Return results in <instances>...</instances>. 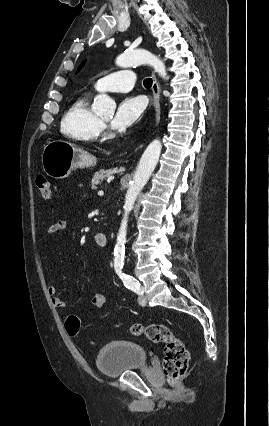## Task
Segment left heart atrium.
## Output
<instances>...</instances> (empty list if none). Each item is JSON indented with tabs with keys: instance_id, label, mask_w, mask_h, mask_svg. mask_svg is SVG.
Listing matches in <instances>:
<instances>
[{
	"instance_id": "left-heart-atrium-1",
	"label": "left heart atrium",
	"mask_w": 269,
	"mask_h": 426,
	"mask_svg": "<svg viewBox=\"0 0 269 426\" xmlns=\"http://www.w3.org/2000/svg\"><path fill=\"white\" fill-rule=\"evenodd\" d=\"M145 110V102L141 97H127L118 105L111 121L115 130H125L134 125Z\"/></svg>"
}]
</instances>
